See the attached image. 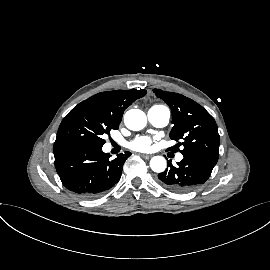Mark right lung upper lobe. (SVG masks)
Instances as JSON below:
<instances>
[{
  "label": "right lung upper lobe",
  "instance_id": "1",
  "mask_svg": "<svg viewBox=\"0 0 270 270\" xmlns=\"http://www.w3.org/2000/svg\"><path fill=\"white\" fill-rule=\"evenodd\" d=\"M146 93L144 89L101 92L84 100L81 104L89 107L97 119L118 128L124 110Z\"/></svg>",
  "mask_w": 270,
  "mask_h": 270
}]
</instances>
